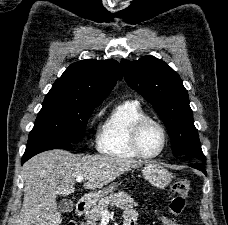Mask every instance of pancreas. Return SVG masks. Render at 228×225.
<instances>
[{"mask_svg": "<svg viewBox=\"0 0 228 225\" xmlns=\"http://www.w3.org/2000/svg\"><path fill=\"white\" fill-rule=\"evenodd\" d=\"M120 207V209H126V207H138V203H134V199H131L130 195L118 191V193H112L110 197H104L99 201L98 205L91 207L89 215H86L87 225H99L101 217H103L104 211H108V207Z\"/></svg>", "mask_w": 228, "mask_h": 225, "instance_id": "obj_1", "label": "pancreas"}]
</instances>
